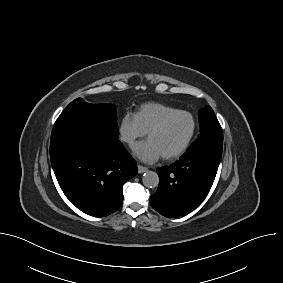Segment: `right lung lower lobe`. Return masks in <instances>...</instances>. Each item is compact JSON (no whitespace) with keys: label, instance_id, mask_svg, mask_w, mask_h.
<instances>
[{"label":"right lung lower lobe","instance_id":"1","mask_svg":"<svg viewBox=\"0 0 283 283\" xmlns=\"http://www.w3.org/2000/svg\"><path fill=\"white\" fill-rule=\"evenodd\" d=\"M50 159L68 200L92 216H108L123 203L124 183L137 166L118 138L79 125L53 127Z\"/></svg>","mask_w":283,"mask_h":283}]
</instances>
